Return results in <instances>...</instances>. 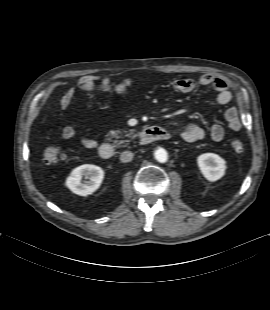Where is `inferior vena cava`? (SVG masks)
Returning a JSON list of instances; mask_svg holds the SVG:
<instances>
[{
  "label": "inferior vena cava",
  "instance_id": "1",
  "mask_svg": "<svg viewBox=\"0 0 270 310\" xmlns=\"http://www.w3.org/2000/svg\"><path fill=\"white\" fill-rule=\"evenodd\" d=\"M134 154L131 151H124L120 155V160L123 163L130 162L133 159Z\"/></svg>",
  "mask_w": 270,
  "mask_h": 310
}]
</instances>
